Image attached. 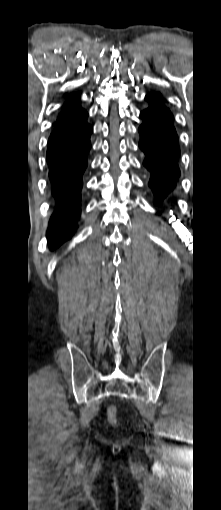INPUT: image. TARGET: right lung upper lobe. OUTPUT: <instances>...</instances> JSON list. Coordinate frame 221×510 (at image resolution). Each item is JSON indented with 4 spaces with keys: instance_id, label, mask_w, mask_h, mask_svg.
<instances>
[{
    "instance_id": "obj_1",
    "label": "right lung upper lobe",
    "mask_w": 221,
    "mask_h": 510,
    "mask_svg": "<svg viewBox=\"0 0 221 510\" xmlns=\"http://www.w3.org/2000/svg\"><path fill=\"white\" fill-rule=\"evenodd\" d=\"M87 112L79 105V98L71 96L63 105L52 134H63L80 126L87 119Z\"/></svg>"
}]
</instances>
